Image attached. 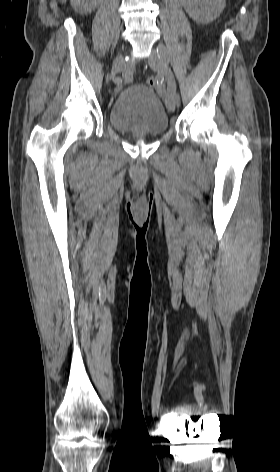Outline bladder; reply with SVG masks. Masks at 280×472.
<instances>
[{
	"mask_svg": "<svg viewBox=\"0 0 280 472\" xmlns=\"http://www.w3.org/2000/svg\"><path fill=\"white\" fill-rule=\"evenodd\" d=\"M108 120L114 129L125 133L160 135L169 126L168 113L161 98L143 84H132L116 96Z\"/></svg>",
	"mask_w": 280,
	"mask_h": 472,
	"instance_id": "31cf9c89",
	"label": "bladder"
}]
</instances>
